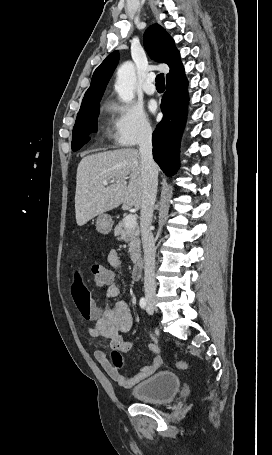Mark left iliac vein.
<instances>
[{
	"instance_id": "1",
	"label": "left iliac vein",
	"mask_w": 272,
	"mask_h": 455,
	"mask_svg": "<svg viewBox=\"0 0 272 455\" xmlns=\"http://www.w3.org/2000/svg\"><path fill=\"white\" fill-rule=\"evenodd\" d=\"M147 312H148L149 314H153V309H152L151 307L148 306V307H147Z\"/></svg>"
}]
</instances>
